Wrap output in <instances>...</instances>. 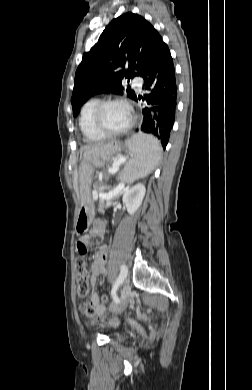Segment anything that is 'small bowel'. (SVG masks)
<instances>
[{"label": "small bowel", "mask_w": 252, "mask_h": 390, "mask_svg": "<svg viewBox=\"0 0 252 390\" xmlns=\"http://www.w3.org/2000/svg\"><path fill=\"white\" fill-rule=\"evenodd\" d=\"M105 231V223L101 221H94L93 225L90 230V235H83L80 237V239L77 242V252L79 254H86L87 253V245L90 242V236L92 235H97V236H102ZM83 245L86 246V249L83 248ZM108 259V247L106 245H101L98 247L94 258L93 262L91 265V270H92V278H91V286L92 289L90 291V301L93 304L96 312L98 314H104L105 312V307L103 305L102 298L99 297L98 293L94 289L95 284H96V276L102 275L105 276L107 275V270H106V262Z\"/></svg>", "instance_id": "small-bowel-1"}]
</instances>
